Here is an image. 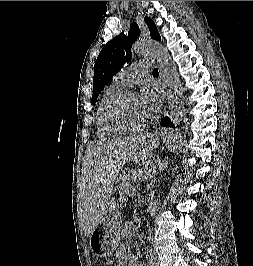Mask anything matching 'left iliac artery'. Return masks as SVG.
Here are the masks:
<instances>
[{"label":"left iliac artery","instance_id":"left-iliac-artery-1","mask_svg":"<svg viewBox=\"0 0 253 266\" xmlns=\"http://www.w3.org/2000/svg\"><path fill=\"white\" fill-rule=\"evenodd\" d=\"M150 257H151V259H153V260H156V255H155V253L152 251V249L150 250Z\"/></svg>","mask_w":253,"mask_h":266}]
</instances>
